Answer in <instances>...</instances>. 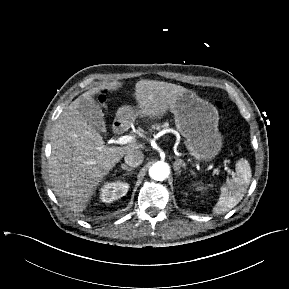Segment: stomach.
I'll use <instances>...</instances> for the list:
<instances>
[{"label":"stomach","mask_w":289,"mask_h":289,"mask_svg":"<svg viewBox=\"0 0 289 289\" xmlns=\"http://www.w3.org/2000/svg\"><path fill=\"white\" fill-rule=\"evenodd\" d=\"M177 130L185 139V146L197 160L210 161L220 152L222 136L218 130L219 114L208 101L188 91L177 97L171 106ZM139 114L130 107L117 112L118 119H131ZM141 115V114H140Z\"/></svg>","instance_id":"obj_1"}]
</instances>
